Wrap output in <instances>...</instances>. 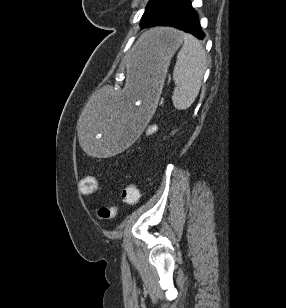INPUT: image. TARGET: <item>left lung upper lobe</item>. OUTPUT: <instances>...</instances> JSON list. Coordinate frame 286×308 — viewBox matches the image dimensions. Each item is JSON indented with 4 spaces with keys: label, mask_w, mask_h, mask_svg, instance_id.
Listing matches in <instances>:
<instances>
[{
    "label": "left lung upper lobe",
    "mask_w": 286,
    "mask_h": 308,
    "mask_svg": "<svg viewBox=\"0 0 286 308\" xmlns=\"http://www.w3.org/2000/svg\"><path fill=\"white\" fill-rule=\"evenodd\" d=\"M172 0H150L142 16L140 26L147 28L157 17L161 10L167 7Z\"/></svg>",
    "instance_id": "left-lung-upper-lobe-1"
}]
</instances>
